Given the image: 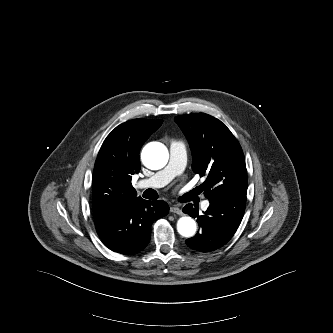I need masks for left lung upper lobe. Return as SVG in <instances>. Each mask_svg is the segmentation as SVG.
Listing matches in <instances>:
<instances>
[{
	"mask_svg": "<svg viewBox=\"0 0 333 333\" xmlns=\"http://www.w3.org/2000/svg\"><path fill=\"white\" fill-rule=\"evenodd\" d=\"M192 151V170L206 176L197 191L208 199L246 194L247 170L242 149L230 130L204 113L175 117Z\"/></svg>",
	"mask_w": 333,
	"mask_h": 333,
	"instance_id": "1",
	"label": "left lung upper lobe"
}]
</instances>
